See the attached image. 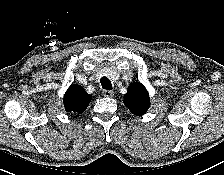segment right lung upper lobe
<instances>
[{"instance_id": "1", "label": "right lung upper lobe", "mask_w": 224, "mask_h": 175, "mask_svg": "<svg viewBox=\"0 0 224 175\" xmlns=\"http://www.w3.org/2000/svg\"><path fill=\"white\" fill-rule=\"evenodd\" d=\"M90 101L91 95L87 94L81 86L74 84L67 90L63 103L67 112L77 114L85 111Z\"/></svg>"}]
</instances>
